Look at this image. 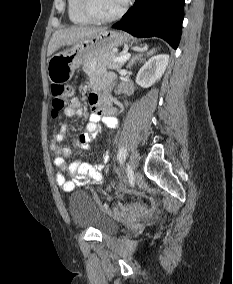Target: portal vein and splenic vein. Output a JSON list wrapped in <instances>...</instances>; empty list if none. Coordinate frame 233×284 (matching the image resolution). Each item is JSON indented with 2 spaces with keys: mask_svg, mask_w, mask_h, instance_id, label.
<instances>
[{
  "mask_svg": "<svg viewBox=\"0 0 233 284\" xmlns=\"http://www.w3.org/2000/svg\"><path fill=\"white\" fill-rule=\"evenodd\" d=\"M130 58V53H124L116 58H114L115 62H125Z\"/></svg>",
  "mask_w": 233,
  "mask_h": 284,
  "instance_id": "18ae733b",
  "label": "portal vein and splenic vein"
}]
</instances>
